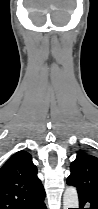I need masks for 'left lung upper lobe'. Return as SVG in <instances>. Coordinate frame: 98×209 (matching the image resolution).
Wrapping results in <instances>:
<instances>
[{"mask_svg": "<svg viewBox=\"0 0 98 209\" xmlns=\"http://www.w3.org/2000/svg\"><path fill=\"white\" fill-rule=\"evenodd\" d=\"M67 184L77 188L78 195L98 202V158L80 150L70 165Z\"/></svg>", "mask_w": 98, "mask_h": 209, "instance_id": "1", "label": "left lung upper lobe"}]
</instances>
